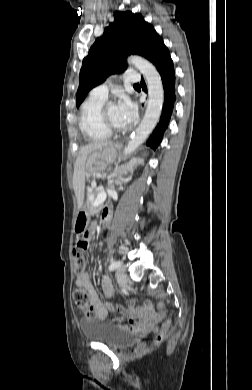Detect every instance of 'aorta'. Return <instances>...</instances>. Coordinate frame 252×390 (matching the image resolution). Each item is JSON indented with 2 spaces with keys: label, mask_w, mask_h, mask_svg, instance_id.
Masks as SVG:
<instances>
[{
  "label": "aorta",
  "mask_w": 252,
  "mask_h": 390,
  "mask_svg": "<svg viewBox=\"0 0 252 390\" xmlns=\"http://www.w3.org/2000/svg\"><path fill=\"white\" fill-rule=\"evenodd\" d=\"M128 61L145 78L148 89V103L142 122L124 149L125 155L132 153L146 140L159 120L164 102L163 84L156 68L149 61L139 56H131Z\"/></svg>",
  "instance_id": "aorta-1"
}]
</instances>
